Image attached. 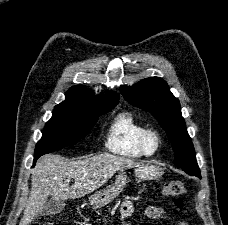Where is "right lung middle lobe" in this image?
<instances>
[{
  "label": "right lung middle lobe",
  "mask_w": 228,
  "mask_h": 225,
  "mask_svg": "<svg viewBox=\"0 0 228 225\" xmlns=\"http://www.w3.org/2000/svg\"><path fill=\"white\" fill-rule=\"evenodd\" d=\"M114 106H89L61 103L55 106L52 118L46 123L41 140L35 148V155H44L75 145L86 136L98 117Z\"/></svg>",
  "instance_id": "dd1d6c3e"
}]
</instances>
